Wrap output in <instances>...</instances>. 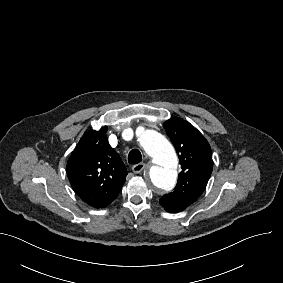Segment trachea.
Listing matches in <instances>:
<instances>
[{
	"label": "trachea",
	"mask_w": 283,
	"mask_h": 283,
	"mask_svg": "<svg viewBox=\"0 0 283 283\" xmlns=\"http://www.w3.org/2000/svg\"><path fill=\"white\" fill-rule=\"evenodd\" d=\"M142 161L141 152L138 149H132L128 154V162L132 165Z\"/></svg>",
	"instance_id": "1"
}]
</instances>
